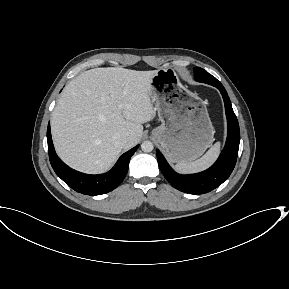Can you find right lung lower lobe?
Returning <instances> with one entry per match:
<instances>
[{"mask_svg": "<svg viewBox=\"0 0 289 289\" xmlns=\"http://www.w3.org/2000/svg\"><path fill=\"white\" fill-rule=\"evenodd\" d=\"M47 141L49 159L55 173L72 189L86 195H101L118 187L127 174L131 156L138 148L137 145L124 153L109 172L101 175H88L71 169L59 159L54 150L50 125L47 128Z\"/></svg>", "mask_w": 289, "mask_h": 289, "instance_id": "obj_1", "label": "right lung lower lobe"}]
</instances>
